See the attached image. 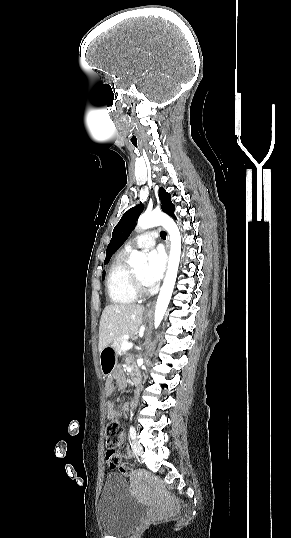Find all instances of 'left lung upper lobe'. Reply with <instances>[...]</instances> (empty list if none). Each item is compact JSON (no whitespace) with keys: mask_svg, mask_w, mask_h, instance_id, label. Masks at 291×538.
<instances>
[{"mask_svg":"<svg viewBox=\"0 0 291 538\" xmlns=\"http://www.w3.org/2000/svg\"><path fill=\"white\" fill-rule=\"evenodd\" d=\"M159 196L162 203V210L170 216L175 217L174 215V205L171 202V196L167 193L164 188L159 189ZM143 210V205H136L126 211L118 224L115 226L112 239L107 247V260L110 259L111 255L125 242V240L130 235L132 229L135 226L136 220L139 217Z\"/></svg>","mask_w":291,"mask_h":538,"instance_id":"1","label":"left lung upper lobe"}]
</instances>
